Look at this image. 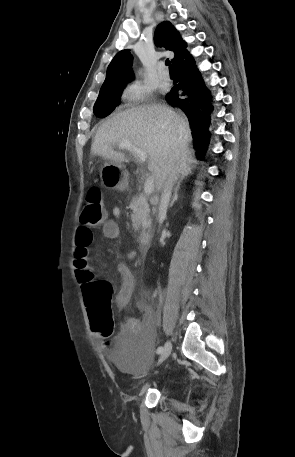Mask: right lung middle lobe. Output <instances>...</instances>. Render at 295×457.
Returning a JSON list of instances; mask_svg holds the SVG:
<instances>
[{
    "label": "right lung middle lobe",
    "mask_w": 295,
    "mask_h": 457,
    "mask_svg": "<svg viewBox=\"0 0 295 457\" xmlns=\"http://www.w3.org/2000/svg\"><path fill=\"white\" fill-rule=\"evenodd\" d=\"M124 87L125 85L112 90L100 91L93 108L97 117H106L120 104V97Z\"/></svg>",
    "instance_id": "right-lung-middle-lobe-1"
}]
</instances>
